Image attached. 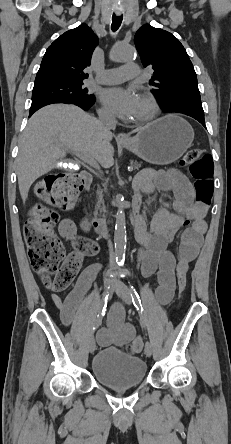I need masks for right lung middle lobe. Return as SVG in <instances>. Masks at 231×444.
<instances>
[{"label": "right lung middle lobe", "instance_id": "1", "mask_svg": "<svg viewBox=\"0 0 231 444\" xmlns=\"http://www.w3.org/2000/svg\"><path fill=\"white\" fill-rule=\"evenodd\" d=\"M83 83H54L40 87H34L32 91V104L46 101L76 102L90 104L94 102V96L88 93Z\"/></svg>", "mask_w": 231, "mask_h": 444}]
</instances>
